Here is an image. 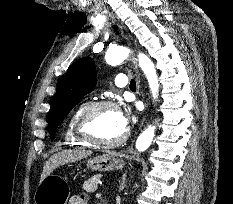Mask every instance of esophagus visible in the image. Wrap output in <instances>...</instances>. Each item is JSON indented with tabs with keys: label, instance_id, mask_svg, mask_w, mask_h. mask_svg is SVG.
<instances>
[{
	"label": "esophagus",
	"instance_id": "1",
	"mask_svg": "<svg viewBox=\"0 0 233 204\" xmlns=\"http://www.w3.org/2000/svg\"><path fill=\"white\" fill-rule=\"evenodd\" d=\"M110 16L113 19V21L119 26L121 31L125 34L126 40L130 43L131 39H130V36L127 34V29L124 26V24L120 21V19L116 15L110 14ZM130 61H131L132 67L138 72L137 61H136L135 57L132 56Z\"/></svg>",
	"mask_w": 233,
	"mask_h": 204
}]
</instances>
